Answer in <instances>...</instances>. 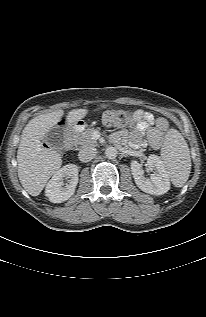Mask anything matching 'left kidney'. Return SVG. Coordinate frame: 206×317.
<instances>
[{"mask_svg":"<svg viewBox=\"0 0 206 317\" xmlns=\"http://www.w3.org/2000/svg\"><path fill=\"white\" fill-rule=\"evenodd\" d=\"M147 165L155 172L149 178L144 177V171L138 161L131 162V171L136 185L144 192L152 195H162L170 189V180L162 160L156 155H150Z\"/></svg>","mask_w":206,"mask_h":317,"instance_id":"left-kidney-1","label":"left kidney"}]
</instances>
